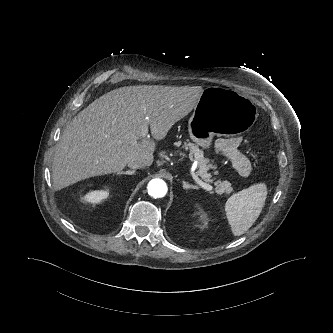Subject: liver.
I'll return each mask as SVG.
<instances>
[{"label":"liver","mask_w":333,"mask_h":333,"mask_svg":"<svg viewBox=\"0 0 333 333\" xmlns=\"http://www.w3.org/2000/svg\"><path fill=\"white\" fill-rule=\"evenodd\" d=\"M201 86H127L82 110L63 132L52 162L55 190L87 178L121 172L134 159L152 165L156 143L141 136L145 122L154 139L196 107Z\"/></svg>","instance_id":"1"}]
</instances>
